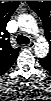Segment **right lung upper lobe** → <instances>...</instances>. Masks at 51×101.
Listing matches in <instances>:
<instances>
[{"label":"right lung upper lobe","instance_id":"right-lung-upper-lobe-1","mask_svg":"<svg viewBox=\"0 0 51 101\" xmlns=\"http://www.w3.org/2000/svg\"><path fill=\"white\" fill-rule=\"evenodd\" d=\"M20 3L7 2L0 4V75L5 73L15 62L20 48H13L6 24Z\"/></svg>","mask_w":51,"mask_h":101}]
</instances>
